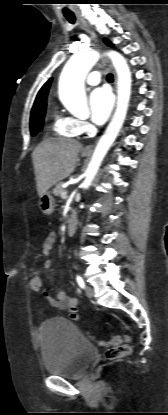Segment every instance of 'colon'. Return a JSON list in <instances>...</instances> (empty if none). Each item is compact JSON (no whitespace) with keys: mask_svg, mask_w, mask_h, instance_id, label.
Instances as JSON below:
<instances>
[{"mask_svg":"<svg viewBox=\"0 0 168 415\" xmlns=\"http://www.w3.org/2000/svg\"><path fill=\"white\" fill-rule=\"evenodd\" d=\"M31 280L29 281V288L32 294H39L42 289L43 276L38 264H35L29 270ZM99 345L105 346V357L109 361H115L126 356L130 348L128 345L122 344V339L119 335L112 336L108 341L100 340Z\"/></svg>","mask_w":168,"mask_h":415,"instance_id":"5ec220e1","label":"colon"}]
</instances>
